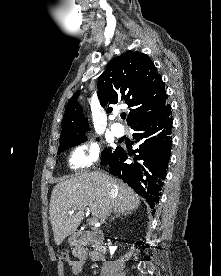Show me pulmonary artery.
<instances>
[{
    "label": "pulmonary artery",
    "instance_id": "pulmonary-artery-1",
    "mask_svg": "<svg viewBox=\"0 0 221 276\" xmlns=\"http://www.w3.org/2000/svg\"><path fill=\"white\" fill-rule=\"evenodd\" d=\"M111 131L117 137H120L124 134V128L122 127V125L117 123L111 126Z\"/></svg>",
    "mask_w": 221,
    "mask_h": 276
}]
</instances>
